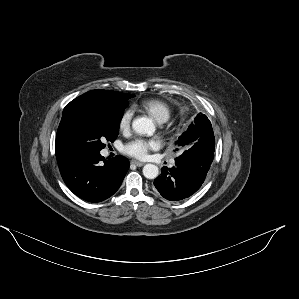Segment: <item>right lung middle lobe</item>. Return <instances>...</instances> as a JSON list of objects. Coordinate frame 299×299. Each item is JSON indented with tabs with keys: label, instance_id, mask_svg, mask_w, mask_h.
I'll use <instances>...</instances> for the list:
<instances>
[{
	"label": "right lung middle lobe",
	"instance_id": "right-lung-middle-lobe-1",
	"mask_svg": "<svg viewBox=\"0 0 299 299\" xmlns=\"http://www.w3.org/2000/svg\"><path fill=\"white\" fill-rule=\"evenodd\" d=\"M133 97L127 95L112 105L82 103L73 107L63 125L71 149L78 154L100 152L105 147L104 141L113 142L118 135L123 111Z\"/></svg>",
	"mask_w": 299,
	"mask_h": 299
}]
</instances>
